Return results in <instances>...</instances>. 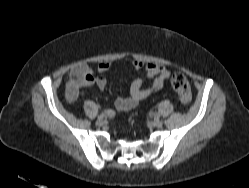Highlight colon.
<instances>
[{"label":"colon","instance_id":"colon-1","mask_svg":"<svg viewBox=\"0 0 249 188\" xmlns=\"http://www.w3.org/2000/svg\"><path fill=\"white\" fill-rule=\"evenodd\" d=\"M77 77L79 73L75 71ZM171 85L174 91L178 94L182 103L187 104L191 100V87L187 78L182 73H174L171 77Z\"/></svg>","mask_w":249,"mask_h":188}]
</instances>
